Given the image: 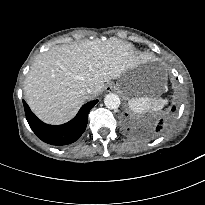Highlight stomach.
<instances>
[{"label": "stomach", "instance_id": "0dacf381", "mask_svg": "<svg viewBox=\"0 0 205 205\" xmlns=\"http://www.w3.org/2000/svg\"><path fill=\"white\" fill-rule=\"evenodd\" d=\"M166 86L165 81L147 79L140 66L129 69L117 82L116 88L126 97L157 98Z\"/></svg>", "mask_w": 205, "mask_h": 205}]
</instances>
